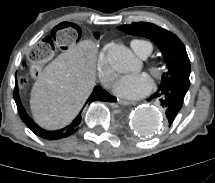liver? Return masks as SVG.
Segmentation results:
<instances>
[{"instance_id": "liver-1", "label": "liver", "mask_w": 215, "mask_h": 183, "mask_svg": "<svg viewBox=\"0 0 215 183\" xmlns=\"http://www.w3.org/2000/svg\"><path fill=\"white\" fill-rule=\"evenodd\" d=\"M96 55V44L84 40L57 56L39 74L30 98L39 126L57 130L77 116L95 86Z\"/></svg>"}]
</instances>
